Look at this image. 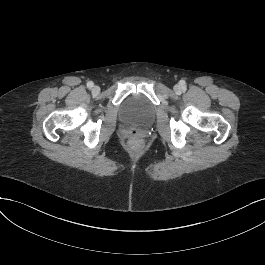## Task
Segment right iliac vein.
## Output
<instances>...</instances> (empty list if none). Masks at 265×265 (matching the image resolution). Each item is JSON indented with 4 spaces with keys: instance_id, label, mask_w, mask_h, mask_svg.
Listing matches in <instances>:
<instances>
[{
    "instance_id": "right-iliac-vein-1",
    "label": "right iliac vein",
    "mask_w": 265,
    "mask_h": 265,
    "mask_svg": "<svg viewBox=\"0 0 265 265\" xmlns=\"http://www.w3.org/2000/svg\"><path fill=\"white\" fill-rule=\"evenodd\" d=\"M92 92L94 94H98L100 92V87L99 86H94L93 89H92Z\"/></svg>"
}]
</instances>
